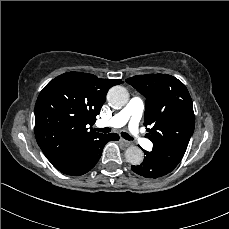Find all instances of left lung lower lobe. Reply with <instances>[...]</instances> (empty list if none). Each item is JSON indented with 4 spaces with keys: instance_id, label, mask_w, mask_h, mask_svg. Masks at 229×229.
Wrapping results in <instances>:
<instances>
[{
    "instance_id": "1",
    "label": "left lung lower lobe",
    "mask_w": 229,
    "mask_h": 229,
    "mask_svg": "<svg viewBox=\"0 0 229 229\" xmlns=\"http://www.w3.org/2000/svg\"><path fill=\"white\" fill-rule=\"evenodd\" d=\"M144 154L146 155L144 157L143 162L140 165L131 166V169L146 178H152V179H156V178H160L168 173H170L171 171L168 169L163 168L162 166H160L149 154V152L144 151Z\"/></svg>"
}]
</instances>
